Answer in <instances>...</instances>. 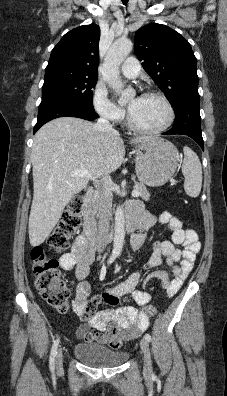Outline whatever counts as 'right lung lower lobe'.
<instances>
[{
    "label": "right lung lower lobe",
    "instance_id": "obj_1",
    "mask_svg": "<svg viewBox=\"0 0 227 396\" xmlns=\"http://www.w3.org/2000/svg\"><path fill=\"white\" fill-rule=\"evenodd\" d=\"M65 116L78 117L89 121L98 118V114L94 109L86 108L74 101L54 99L41 102L38 109V120L34 126V133L48 121Z\"/></svg>",
    "mask_w": 227,
    "mask_h": 396
}]
</instances>
